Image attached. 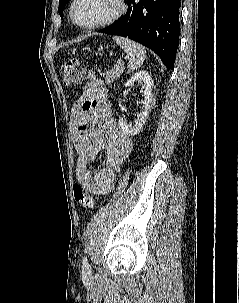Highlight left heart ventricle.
<instances>
[{
  "label": "left heart ventricle",
  "mask_w": 239,
  "mask_h": 303,
  "mask_svg": "<svg viewBox=\"0 0 239 303\" xmlns=\"http://www.w3.org/2000/svg\"><path fill=\"white\" fill-rule=\"evenodd\" d=\"M117 9V0H79L75 15L79 23L91 24L110 17Z\"/></svg>",
  "instance_id": "b2bd125f"
}]
</instances>
